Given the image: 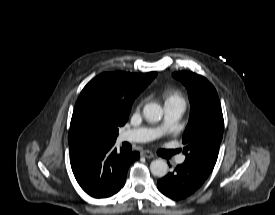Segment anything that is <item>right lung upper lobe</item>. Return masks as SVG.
<instances>
[{
  "label": "right lung upper lobe",
  "mask_w": 275,
  "mask_h": 215,
  "mask_svg": "<svg viewBox=\"0 0 275 215\" xmlns=\"http://www.w3.org/2000/svg\"><path fill=\"white\" fill-rule=\"evenodd\" d=\"M155 76L156 72H107L92 79L75 104L68 137L70 155L89 145L85 130L91 123L103 129L104 143L115 142L118 127L126 123L134 99Z\"/></svg>",
  "instance_id": "cb5924a9"
}]
</instances>
